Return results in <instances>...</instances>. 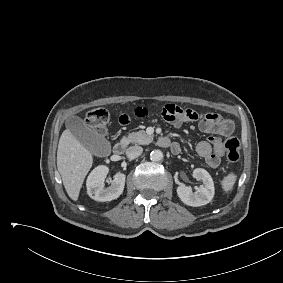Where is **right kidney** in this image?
Returning a JSON list of instances; mask_svg holds the SVG:
<instances>
[{"instance_id": "1", "label": "right kidney", "mask_w": 283, "mask_h": 283, "mask_svg": "<svg viewBox=\"0 0 283 283\" xmlns=\"http://www.w3.org/2000/svg\"><path fill=\"white\" fill-rule=\"evenodd\" d=\"M109 172V168L100 165L94 168L89 174L86 186L88 195L101 202L117 199L123 192L125 186V174L116 173L109 187H104V181Z\"/></svg>"}]
</instances>
